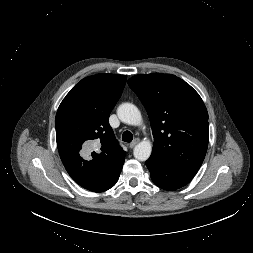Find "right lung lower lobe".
Returning <instances> with one entry per match:
<instances>
[{"mask_svg": "<svg viewBox=\"0 0 253 253\" xmlns=\"http://www.w3.org/2000/svg\"><path fill=\"white\" fill-rule=\"evenodd\" d=\"M120 172L121 170L113 177V179L104 187L102 188L99 192H103L106 191L108 189H110L112 186L115 185V183L117 182L119 176H120Z\"/></svg>", "mask_w": 253, "mask_h": 253, "instance_id": "right-lung-lower-lobe-1", "label": "right lung lower lobe"}]
</instances>
